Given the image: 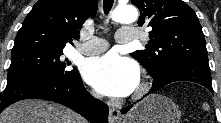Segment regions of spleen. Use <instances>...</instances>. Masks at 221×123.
Returning <instances> with one entry per match:
<instances>
[{
	"instance_id": "1",
	"label": "spleen",
	"mask_w": 221,
	"mask_h": 123,
	"mask_svg": "<svg viewBox=\"0 0 221 123\" xmlns=\"http://www.w3.org/2000/svg\"><path fill=\"white\" fill-rule=\"evenodd\" d=\"M203 108L206 109V110H208V109H209V106H208L207 104H204V105H203Z\"/></svg>"
}]
</instances>
